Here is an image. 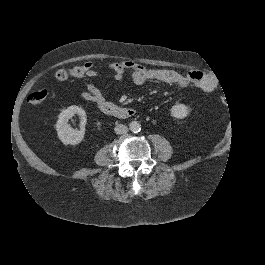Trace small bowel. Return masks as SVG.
Wrapping results in <instances>:
<instances>
[{
	"label": "small bowel",
	"instance_id": "1",
	"mask_svg": "<svg viewBox=\"0 0 265 265\" xmlns=\"http://www.w3.org/2000/svg\"><path fill=\"white\" fill-rule=\"evenodd\" d=\"M85 75L89 78L99 75L98 68L92 63L87 62ZM111 71L113 80L119 86L127 72H131V78L134 84L144 85L147 82L159 81L167 84H175L182 88H187L191 85L199 88L205 93L212 92L216 88L215 81L199 71H189L186 74H181L170 69H152L146 68L135 61H117L109 63L105 66ZM80 95L83 99L93 101L95 103L105 102L104 90L89 81H84Z\"/></svg>",
	"mask_w": 265,
	"mask_h": 265
}]
</instances>
